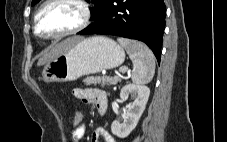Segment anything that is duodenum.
I'll return each mask as SVG.
<instances>
[{
	"label": "duodenum",
	"mask_w": 227,
	"mask_h": 142,
	"mask_svg": "<svg viewBox=\"0 0 227 142\" xmlns=\"http://www.w3.org/2000/svg\"><path fill=\"white\" fill-rule=\"evenodd\" d=\"M106 108H107V105L106 104H103V106L101 107V110H100V114L101 115H104L105 114Z\"/></svg>",
	"instance_id": "obj_1"
}]
</instances>
